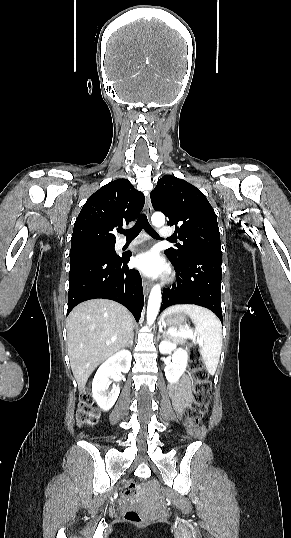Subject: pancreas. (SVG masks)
<instances>
[{
    "instance_id": "1",
    "label": "pancreas",
    "mask_w": 291,
    "mask_h": 538,
    "mask_svg": "<svg viewBox=\"0 0 291 538\" xmlns=\"http://www.w3.org/2000/svg\"><path fill=\"white\" fill-rule=\"evenodd\" d=\"M166 338L169 340H172L174 343L177 344H185L187 337L181 336V335H171V334H164Z\"/></svg>"
}]
</instances>
